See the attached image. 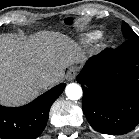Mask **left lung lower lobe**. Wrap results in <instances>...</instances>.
<instances>
[{"mask_svg": "<svg viewBox=\"0 0 139 139\" xmlns=\"http://www.w3.org/2000/svg\"><path fill=\"white\" fill-rule=\"evenodd\" d=\"M82 106L98 132L119 135L139 123V38L90 58L77 76Z\"/></svg>", "mask_w": 139, "mask_h": 139, "instance_id": "obj_1", "label": "left lung lower lobe"}]
</instances>
